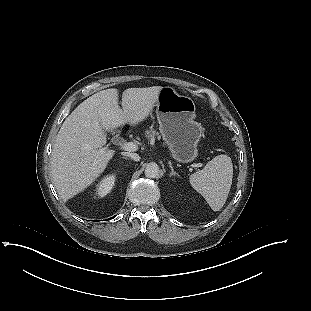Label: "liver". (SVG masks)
I'll return each mask as SVG.
<instances>
[{"instance_id": "liver-1", "label": "liver", "mask_w": 311, "mask_h": 311, "mask_svg": "<svg viewBox=\"0 0 311 311\" xmlns=\"http://www.w3.org/2000/svg\"><path fill=\"white\" fill-rule=\"evenodd\" d=\"M161 86L129 88L118 105V90H102L83 101L63 122L51 156V176L59 195L69 199L103 173L114 155L106 145V131L136 125L155 106Z\"/></svg>"}]
</instances>
